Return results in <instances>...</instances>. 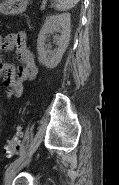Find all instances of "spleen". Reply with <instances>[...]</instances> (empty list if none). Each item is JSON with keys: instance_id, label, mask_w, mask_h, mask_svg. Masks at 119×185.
<instances>
[{"instance_id": "3e777b00", "label": "spleen", "mask_w": 119, "mask_h": 185, "mask_svg": "<svg viewBox=\"0 0 119 185\" xmlns=\"http://www.w3.org/2000/svg\"><path fill=\"white\" fill-rule=\"evenodd\" d=\"M56 8L60 11H66L73 8L79 0H55Z\"/></svg>"}]
</instances>
